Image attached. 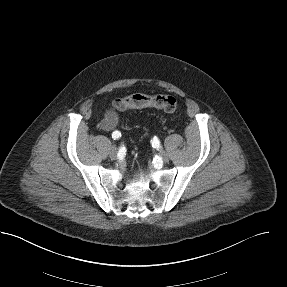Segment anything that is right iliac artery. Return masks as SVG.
I'll list each match as a JSON object with an SVG mask.
<instances>
[{"label":"right iliac artery","instance_id":"1","mask_svg":"<svg viewBox=\"0 0 287 287\" xmlns=\"http://www.w3.org/2000/svg\"><path fill=\"white\" fill-rule=\"evenodd\" d=\"M120 136H121V133L118 132V131L113 132V134H112V137H113L114 139H118ZM122 149L124 150V147H123Z\"/></svg>","mask_w":287,"mask_h":287}]
</instances>
